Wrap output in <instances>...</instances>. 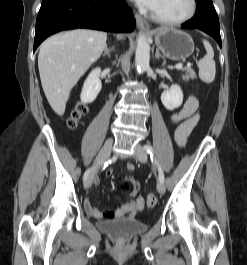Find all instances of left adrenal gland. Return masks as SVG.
<instances>
[{
	"mask_svg": "<svg viewBox=\"0 0 247 265\" xmlns=\"http://www.w3.org/2000/svg\"><path fill=\"white\" fill-rule=\"evenodd\" d=\"M155 58L156 59H160V58H162V60H163V66L165 65V58L159 53V50L158 49H156V54H155Z\"/></svg>",
	"mask_w": 247,
	"mask_h": 265,
	"instance_id": "a2214340",
	"label": "left adrenal gland"
}]
</instances>
